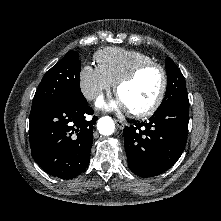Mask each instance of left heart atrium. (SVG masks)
<instances>
[{"label": "left heart atrium", "instance_id": "left-heart-atrium-1", "mask_svg": "<svg viewBox=\"0 0 221 221\" xmlns=\"http://www.w3.org/2000/svg\"><path fill=\"white\" fill-rule=\"evenodd\" d=\"M97 105L101 108L107 110H127V106L120 96H116L115 98L106 101L104 99H99Z\"/></svg>", "mask_w": 221, "mask_h": 221}]
</instances>
